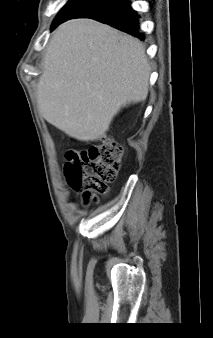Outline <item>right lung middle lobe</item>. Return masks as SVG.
Instances as JSON below:
<instances>
[{"label":"right lung middle lobe","instance_id":"right-lung-middle-lobe-1","mask_svg":"<svg viewBox=\"0 0 213 338\" xmlns=\"http://www.w3.org/2000/svg\"><path fill=\"white\" fill-rule=\"evenodd\" d=\"M93 0H69L64 7L60 10L59 14L55 18L51 29L53 30L56 28L59 24H61L67 17L70 16L75 10H77L79 7L92 2Z\"/></svg>","mask_w":213,"mask_h":338}]
</instances>
